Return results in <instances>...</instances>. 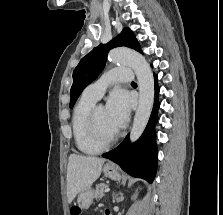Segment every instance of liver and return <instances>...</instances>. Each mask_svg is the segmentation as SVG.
I'll return each instance as SVG.
<instances>
[{
    "label": "liver",
    "mask_w": 223,
    "mask_h": 215,
    "mask_svg": "<svg viewBox=\"0 0 223 215\" xmlns=\"http://www.w3.org/2000/svg\"><path fill=\"white\" fill-rule=\"evenodd\" d=\"M105 159L91 155L71 153L67 165L68 203L73 201L79 191L87 189L99 177Z\"/></svg>",
    "instance_id": "obj_1"
}]
</instances>
